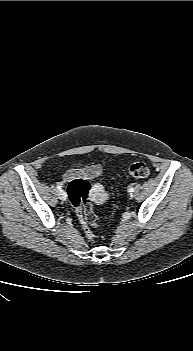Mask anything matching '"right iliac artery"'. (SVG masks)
<instances>
[{
  "mask_svg": "<svg viewBox=\"0 0 193 351\" xmlns=\"http://www.w3.org/2000/svg\"><path fill=\"white\" fill-rule=\"evenodd\" d=\"M57 189H58L59 191H62V188H61L60 185H57Z\"/></svg>",
  "mask_w": 193,
  "mask_h": 351,
  "instance_id": "1",
  "label": "right iliac artery"
}]
</instances>
